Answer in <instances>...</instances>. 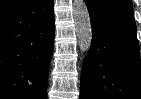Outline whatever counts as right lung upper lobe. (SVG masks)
<instances>
[{"instance_id":"1","label":"right lung upper lobe","mask_w":141,"mask_h":99,"mask_svg":"<svg viewBox=\"0 0 141 99\" xmlns=\"http://www.w3.org/2000/svg\"><path fill=\"white\" fill-rule=\"evenodd\" d=\"M18 1L19 0H0V10L7 8Z\"/></svg>"}]
</instances>
